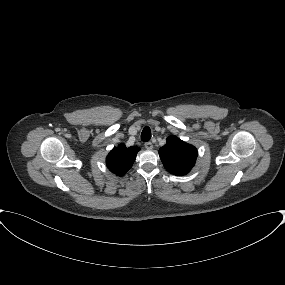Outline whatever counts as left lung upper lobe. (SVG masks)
Wrapping results in <instances>:
<instances>
[{
    "label": "left lung upper lobe",
    "instance_id": "obj_1",
    "mask_svg": "<svg viewBox=\"0 0 285 285\" xmlns=\"http://www.w3.org/2000/svg\"><path fill=\"white\" fill-rule=\"evenodd\" d=\"M159 156L168 172L182 176L189 173L195 165L197 150L194 146L172 135L166 139V144L160 148Z\"/></svg>",
    "mask_w": 285,
    "mask_h": 285
}]
</instances>
